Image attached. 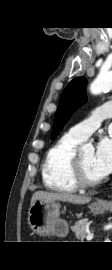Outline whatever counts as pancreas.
I'll return each mask as SVG.
<instances>
[{
  "mask_svg": "<svg viewBox=\"0 0 112 270\" xmlns=\"http://www.w3.org/2000/svg\"><path fill=\"white\" fill-rule=\"evenodd\" d=\"M89 224L86 219H81L75 223L72 227V231L75 233L77 239H80L81 242H84L85 237L88 235Z\"/></svg>",
  "mask_w": 112,
  "mask_h": 270,
  "instance_id": "1",
  "label": "pancreas"
}]
</instances>
